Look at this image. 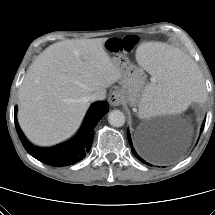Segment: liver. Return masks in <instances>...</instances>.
Here are the masks:
<instances>
[{
    "instance_id": "1",
    "label": "liver",
    "mask_w": 215,
    "mask_h": 215,
    "mask_svg": "<svg viewBox=\"0 0 215 215\" xmlns=\"http://www.w3.org/2000/svg\"><path fill=\"white\" fill-rule=\"evenodd\" d=\"M106 40L61 41L34 60L18 93V122L31 142L51 146L72 136L91 95L120 80L119 66L104 49Z\"/></svg>"
}]
</instances>
